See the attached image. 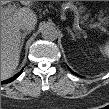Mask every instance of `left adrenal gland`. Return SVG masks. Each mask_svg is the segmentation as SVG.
Here are the masks:
<instances>
[{"label": "left adrenal gland", "mask_w": 109, "mask_h": 109, "mask_svg": "<svg viewBox=\"0 0 109 109\" xmlns=\"http://www.w3.org/2000/svg\"><path fill=\"white\" fill-rule=\"evenodd\" d=\"M67 31L71 34V37L73 40H75L76 36H78V35H75L69 27H67Z\"/></svg>", "instance_id": "1"}]
</instances>
